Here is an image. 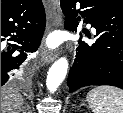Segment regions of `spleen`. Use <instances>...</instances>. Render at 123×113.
Masks as SVG:
<instances>
[{
    "mask_svg": "<svg viewBox=\"0 0 123 113\" xmlns=\"http://www.w3.org/2000/svg\"><path fill=\"white\" fill-rule=\"evenodd\" d=\"M93 113H123V90L112 86H98L87 95Z\"/></svg>",
    "mask_w": 123,
    "mask_h": 113,
    "instance_id": "1",
    "label": "spleen"
}]
</instances>
